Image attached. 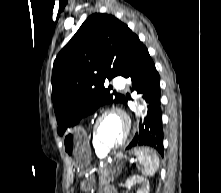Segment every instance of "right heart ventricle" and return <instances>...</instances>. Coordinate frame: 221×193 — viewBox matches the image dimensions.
Returning <instances> with one entry per match:
<instances>
[{
    "mask_svg": "<svg viewBox=\"0 0 221 193\" xmlns=\"http://www.w3.org/2000/svg\"><path fill=\"white\" fill-rule=\"evenodd\" d=\"M92 144H93L94 152L98 157H103L106 155V152L103 149L98 147L94 142H92Z\"/></svg>",
    "mask_w": 221,
    "mask_h": 193,
    "instance_id": "1",
    "label": "right heart ventricle"
}]
</instances>
